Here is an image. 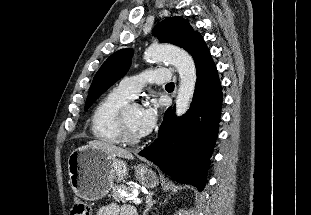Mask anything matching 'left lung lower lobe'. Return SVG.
Instances as JSON below:
<instances>
[{"label":"left lung lower lobe","mask_w":311,"mask_h":215,"mask_svg":"<svg viewBox=\"0 0 311 215\" xmlns=\"http://www.w3.org/2000/svg\"><path fill=\"white\" fill-rule=\"evenodd\" d=\"M197 72L190 109L177 118L168 108L158 138L139 152L172 178L196 186L206 183L207 169L218 133L222 89L217 69L202 37L189 48Z\"/></svg>","instance_id":"left-lung-lower-lobe-1"}]
</instances>
